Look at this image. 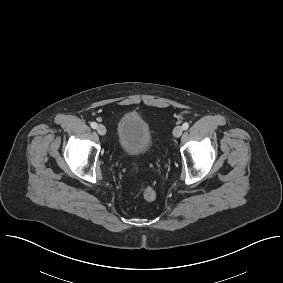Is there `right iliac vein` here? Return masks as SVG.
Segmentation results:
<instances>
[{
	"label": "right iliac vein",
	"instance_id": "right-iliac-vein-1",
	"mask_svg": "<svg viewBox=\"0 0 283 283\" xmlns=\"http://www.w3.org/2000/svg\"><path fill=\"white\" fill-rule=\"evenodd\" d=\"M97 132H98V134L101 135V136L105 135V134H106V128H105V126L102 125V124H99V125L97 126Z\"/></svg>",
	"mask_w": 283,
	"mask_h": 283
}]
</instances>
